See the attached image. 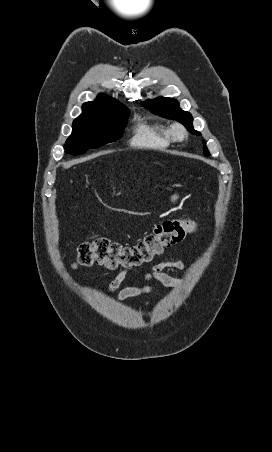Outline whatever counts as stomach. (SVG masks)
Listing matches in <instances>:
<instances>
[{"label": "stomach", "instance_id": "0dacf381", "mask_svg": "<svg viewBox=\"0 0 272 452\" xmlns=\"http://www.w3.org/2000/svg\"><path fill=\"white\" fill-rule=\"evenodd\" d=\"M179 199V195L177 194V193H174L173 195H171V197H170V201L172 202V203H176L177 202V200Z\"/></svg>", "mask_w": 272, "mask_h": 452}]
</instances>
